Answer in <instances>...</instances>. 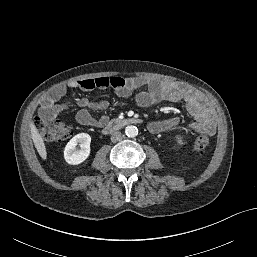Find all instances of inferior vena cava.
<instances>
[{"instance_id":"inferior-vena-cava-1","label":"inferior vena cava","mask_w":257,"mask_h":257,"mask_svg":"<svg viewBox=\"0 0 257 257\" xmlns=\"http://www.w3.org/2000/svg\"><path fill=\"white\" fill-rule=\"evenodd\" d=\"M121 139V132L119 131H114L111 134V141L112 142H117Z\"/></svg>"}]
</instances>
